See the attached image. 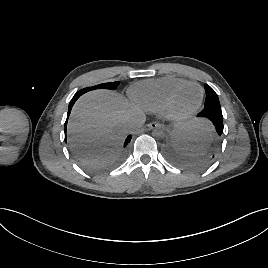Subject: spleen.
Instances as JSON below:
<instances>
[{
    "label": "spleen",
    "mask_w": 268,
    "mask_h": 268,
    "mask_svg": "<svg viewBox=\"0 0 268 268\" xmlns=\"http://www.w3.org/2000/svg\"><path fill=\"white\" fill-rule=\"evenodd\" d=\"M218 129L212 125L211 120L204 115L198 116L185 131L184 137L189 148H182L184 151L202 153L206 147L211 146L218 138Z\"/></svg>",
    "instance_id": "spleen-1"
}]
</instances>
